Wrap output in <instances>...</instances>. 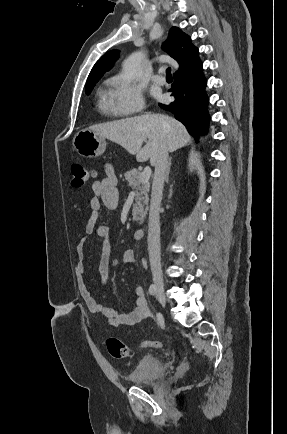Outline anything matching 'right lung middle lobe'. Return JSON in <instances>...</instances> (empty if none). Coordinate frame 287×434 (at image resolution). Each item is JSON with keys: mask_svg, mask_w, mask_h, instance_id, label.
<instances>
[{"mask_svg": "<svg viewBox=\"0 0 287 434\" xmlns=\"http://www.w3.org/2000/svg\"><path fill=\"white\" fill-rule=\"evenodd\" d=\"M97 81H95V82H90V83H87L86 84V87H85V93L87 94V95H89L90 94V92L92 91V89H93V87L95 86V83H96Z\"/></svg>", "mask_w": 287, "mask_h": 434, "instance_id": "right-lung-middle-lobe-1", "label": "right lung middle lobe"}]
</instances>
